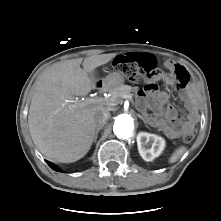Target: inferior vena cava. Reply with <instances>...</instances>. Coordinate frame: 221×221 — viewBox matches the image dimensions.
<instances>
[{
  "mask_svg": "<svg viewBox=\"0 0 221 221\" xmlns=\"http://www.w3.org/2000/svg\"><path fill=\"white\" fill-rule=\"evenodd\" d=\"M109 118H110V113L107 111L96 114L95 115L96 127H103L106 124V122L109 120Z\"/></svg>",
  "mask_w": 221,
  "mask_h": 221,
  "instance_id": "1",
  "label": "inferior vena cava"
}]
</instances>
